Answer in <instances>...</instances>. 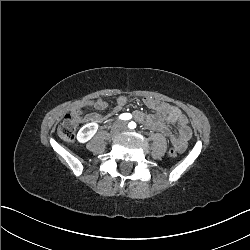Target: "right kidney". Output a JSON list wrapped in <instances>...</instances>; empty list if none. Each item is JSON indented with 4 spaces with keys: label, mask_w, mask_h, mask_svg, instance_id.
Listing matches in <instances>:
<instances>
[{
    "label": "right kidney",
    "mask_w": 250,
    "mask_h": 250,
    "mask_svg": "<svg viewBox=\"0 0 250 250\" xmlns=\"http://www.w3.org/2000/svg\"><path fill=\"white\" fill-rule=\"evenodd\" d=\"M98 124L95 122L88 123L84 125L77 134V140L80 143H85L89 141L97 132Z\"/></svg>",
    "instance_id": "right-kidney-1"
}]
</instances>
